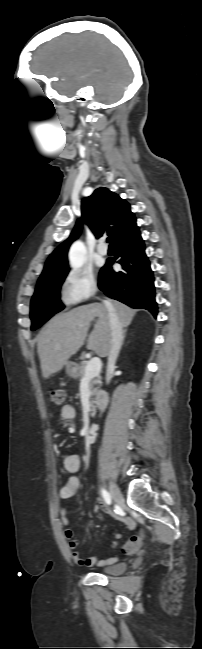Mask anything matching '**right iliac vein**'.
<instances>
[{
  "instance_id": "obj_1",
  "label": "right iliac vein",
  "mask_w": 202,
  "mask_h": 649,
  "mask_svg": "<svg viewBox=\"0 0 202 649\" xmlns=\"http://www.w3.org/2000/svg\"><path fill=\"white\" fill-rule=\"evenodd\" d=\"M109 489H110V494H111V498L113 499V501L117 505L121 506L124 503V498H123L119 488L116 486L115 483L110 481Z\"/></svg>"
}]
</instances>
